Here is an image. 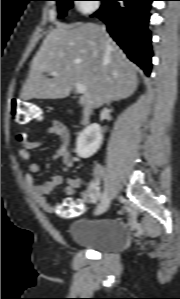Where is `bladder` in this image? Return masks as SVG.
Listing matches in <instances>:
<instances>
[{
	"instance_id": "obj_1",
	"label": "bladder",
	"mask_w": 180,
	"mask_h": 299,
	"mask_svg": "<svg viewBox=\"0 0 180 299\" xmlns=\"http://www.w3.org/2000/svg\"><path fill=\"white\" fill-rule=\"evenodd\" d=\"M70 239L80 246L101 252H114L126 242L127 233L122 222L112 218L79 220L69 228Z\"/></svg>"
}]
</instances>
